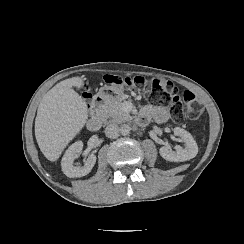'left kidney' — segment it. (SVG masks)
<instances>
[{
  "label": "left kidney",
  "mask_w": 244,
  "mask_h": 244,
  "mask_svg": "<svg viewBox=\"0 0 244 244\" xmlns=\"http://www.w3.org/2000/svg\"><path fill=\"white\" fill-rule=\"evenodd\" d=\"M173 131L174 134L179 136L182 142L185 143V148L176 146V152H174L170 147L163 146L159 149L160 156L163 159L174 163H180L193 159L198 153V146L192 135L180 127H175Z\"/></svg>",
  "instance_id": "5707ae66"
}]
</instances>
